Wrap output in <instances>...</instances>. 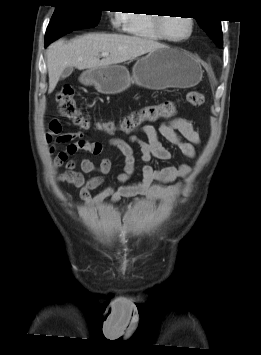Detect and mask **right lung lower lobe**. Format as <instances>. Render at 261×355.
<instances>
[{"label": "right lung lower lobe", "instance_id": "right-lung-lower-lobe-1", "mask_svg": "<svg viewBox=\"0 0 261 355\" xmlns=\"http://www.w3.org/2000/svg\"><path fill=\"white\" fill-rule=\"evenodd\" d=\"M71 31H73V30L63 31V32H61V33H59V34H56V35L52 36V37L45 38V47H47V46H48L51 42H53L54 40H57V39L60 38L61 36L65 35V34H67V33H69V32H71Z\"/></svg>", "mask_w": 261, "mask_h": 355}]
</instances>
